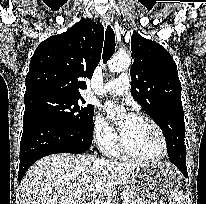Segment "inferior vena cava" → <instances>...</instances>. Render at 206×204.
I'll use <instances>...</instances> for the list:
<instances>
[{
    "mask_svg": "<svg viewBox=\"0 0 206 204\" xmlns=\"http://www.w3.org/2000/svg\"><path fill=\"white\" fill-rule=\"evenodd\" d=\"M92 204H99V203H98V201L93 200V201H92Z\"/></svg>",
    "mask_w": 206,
    "mask_h": 204,
    "instance_id": "602c4592",
    "label": "inferior vena cava"
}]
</instances>
